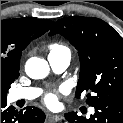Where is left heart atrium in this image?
Returning a JSON list of instances; mask_svg holds the SVG:
<instances>
[{"instance_id": "39dd6f15", "label": "left heart atrium", "mask_w": 123, "mask_h": 123, "mask_svg": "<svg viewBox=\"0 0 123 123\" xmlns=\"http://www.w3.org/2000/svg\"><path fill=\"white\" fill-rule=\"evenodd\" d=\"M45 103L48 106L54 107L57 105L58 103V96L56 93H49L46 97H45Z\"/></svg>"}]
</instances>
